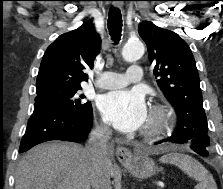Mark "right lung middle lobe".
Instances as JSON below:
<instances>
[{
    "label": "right lung middle lobe",
    "mask_w": 223,
    "mask_h": 189,
    "mask_svg": "<svg viewBox=\"0 0 223 189\" xmlns=\"http://www.w3.org/2000/svg\"><path fill=\"white\" fill-rule=\"evenodd\" d=\"M81 87L56 88L36 92L35 104H50L68 108L80 114L92 109L91 102H85L84 96L78 94Z\"/></svg>",
    "instance_id": "obj_1"
}]
</instances>
